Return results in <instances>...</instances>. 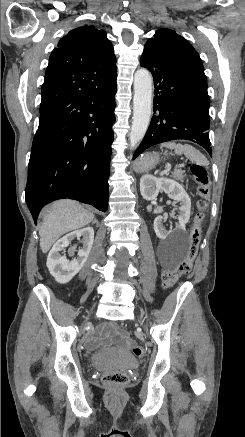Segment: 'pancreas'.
Masks as SVG:
<instances>
[{
	"label": "pancreas",
	"instance_id": "1",
	"mask_svg": "<svg viewBox=\"0 0 245 437\" xmlns=\"http://www.w3.org/2000/svg\"><path fill=\"white\" fill-rule=\"evenodd\" d=\"M184 171L183 170H175L174 172H173V175H172V177L174 178V179H176V180H178V181H181V182H183V179H184Z\"/></svg>",
	"mask_w": 245,
	"mask_h": 437
}]
</instances>
